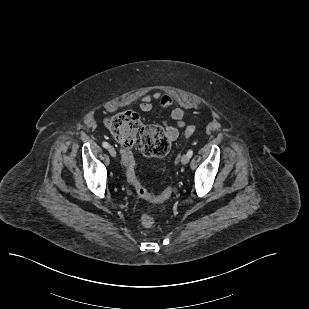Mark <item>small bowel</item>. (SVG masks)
I'll return each mask as SVG.
<instances>
[{"instance_id": "c3829d8e", "label": "small bowel", "mask_w": 309, "mask_h": 309, "mask_svg": "<svg viewBox=\"0 0 309 309\" xmlns=\"http://www.w3.org/2000/svg\"><path fill=\"white\" fill-rule=\"evenodd\" d=\"M157 101L163 109H169L174 105V99L161 92L146 94L141 98L139 108L142 112H150L153 109V102ZM170 119L175 122L176 126L165 124V131L169 141H175L179 136V131L185 127V113L180 107H175L170 112Z\"/></svg>"}]
</instances>
